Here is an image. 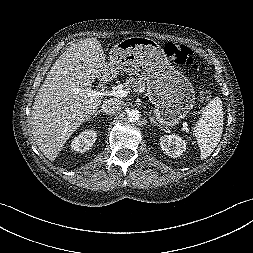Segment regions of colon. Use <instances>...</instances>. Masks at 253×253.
Here are the masks:
<instances>
[{"instance_id":"5ec220e1","label":"colon","mask_w":253,"mask_h":253,"mask_svg":"<svg viewBox=\"0 0 253 253\" xmlns=\"http://www.w3.org/2000/svg\"><path fill=\"white\" fill-rule=\"evenodd\" d=\"M165 54L174 63L181 66H186L193 71H198L199 66L195 62L192 50L185 45H176L174 43H167L164 48ZM200 96L204 100H208L210 93L208 90H202Z\"/></svg>"}]
</instances>
